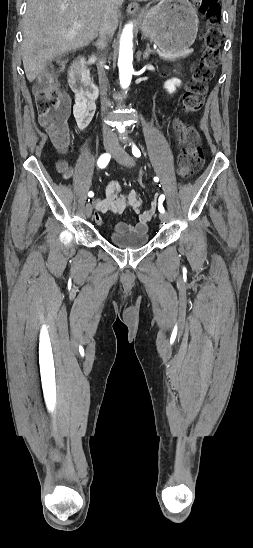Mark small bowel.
I'll list each match as a JSON object with an SVG mask.
<instances>
[{
	"mask_svg": "<svg viewBox=\"0 0 253 548\" xmlns=\"http://www.w3.org/2000/svg\"><path fill=\"white\" fill-rule=\"evenodd\" d=\"M94 111V101L76 96L73 113L80 129H85L89 125ZM72 174V170L68 169L65 172V177L71 178ZM93 205L95 208L94 220L99 225L102 224L100 213L122 214L127 209H131L138 215L136 225L119 222L115 226L116 232H146L148 222L155 212L154 206L149 210H143V202L140 196L134 190H123L120 183L115 180L110 181L105 187L104 198L94 199Z\"/></svg>",
	"mask_w": 253,
	"mask_h": 548,
	"instance_id": "1",
	"label": "small bowel"
}]
</instances>
